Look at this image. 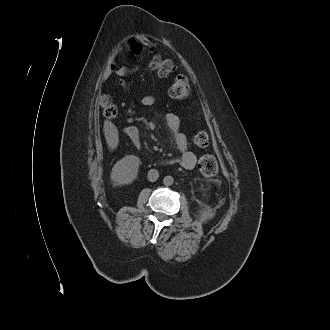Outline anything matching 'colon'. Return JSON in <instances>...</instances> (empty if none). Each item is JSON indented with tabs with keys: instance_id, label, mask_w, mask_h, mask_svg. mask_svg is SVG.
Masks as SVG:
<instances>
[{
	"instance_id": "5ec220e1",
	"label": "colon",
	"mask_w": 330,
	"mask_h": 330,
	"mask_svg": "<svg viewBox=\"0 0 330 330\" xmlns=\"http://www.w3.org/2000/svg\"><path fill=\"white\" fill-rule=\"evenodd\" d=\"M151 69L157 72L160 77H168L175 70V65L170 60H163L160 56L154 55L149 61ZM191 94V88L188 79L185 76H179L176 78L170 89V95L176 99H186ZM101 105L103 107V113L107 118H114L117 115L116 105L111 98L107 95H103L100 98ZM209 142V136L205 132H199L195 136V143L204 147ZM199 170L205 176H213L217 173L218 164L213 156L206 155L200 158L198 163Z\"/></svg>"
}]
</instances>
